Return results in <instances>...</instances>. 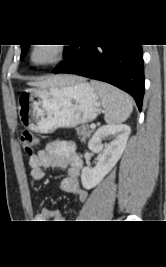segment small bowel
<instances>
[{"label":"small bowel","mask_w":166,"mask_h":267,"mask_svg":"<svg viewBox=\"0 0 166 267\" xmlns=\"http://www.w3.org/2000/svg\"><path fill=\"white\" fill-rule=\"evenodd\" d=\"M29 166L30 175L34 181H41L44 178L45 169H66L67 176L63 179L60 189L81 202L86 200L87 194L80 182L83 161L73 143L60 140L48 143L29 158ZM35 218L38 222H45V220L60 222L61 214L58 210L43 208Z\"/></svg>","instance_id":"c3829d8e"}]
</instances>
